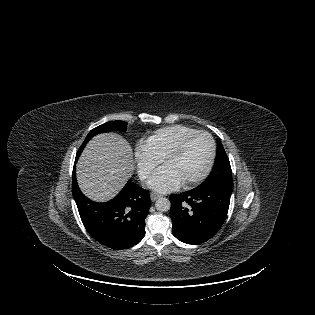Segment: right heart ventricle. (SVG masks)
<instances>
[{
	"label": "right heart ventricle",
	"mask_w": 315,
	"mask_h": 315,
	"mask_svg": "<svg viewBox=\"0 0 315 315\" xmlns=\"http://www.w3.org/2000/svg\"><path fill=\"white\" fill-rule=\"evenodd\" d=\"M195 131L190 126L174 124L154 131L146 139V143L159 159H163L180 139Z\"/></svg>",
	"instance_id": "right-heart-ventricle-1"
}]
</instances>
